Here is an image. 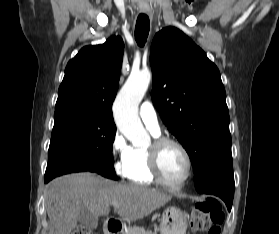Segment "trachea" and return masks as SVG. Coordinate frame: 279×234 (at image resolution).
Masks as SVG:
<instances>
[{"label": "trachea", "instance_id": "3493384b", "mask_svg": "<svg viewBox=\"0 0 279 234\" xmlns=\"http://www.w3.org/2000/svg\"><path fill=\"white\" fill-rule=\"evenodd\" d=\"M150 29V21L147 15L140 14L136 21L135 39L139 46H144Z\"/></svg>", "mask_w": 279, "mask_h": 234}]
</instances>
